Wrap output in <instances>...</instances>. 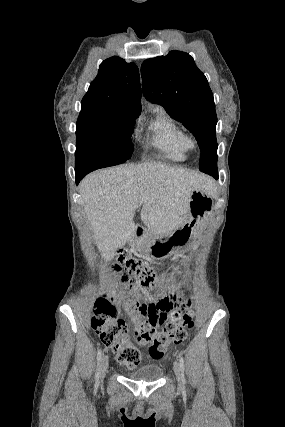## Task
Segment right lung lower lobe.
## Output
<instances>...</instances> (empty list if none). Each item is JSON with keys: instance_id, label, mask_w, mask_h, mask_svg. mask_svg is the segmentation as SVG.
I'll use <instances>...</instances> for the list:
<instances>
[{"instance_id": "right-lung-lower-lobe-1", "label": "right lung lower lobe", "mask_w": 285, "mask_h": 427, "mask_svg": "<svg viewBox=\"0 0 285 427\" xmlns=\"http://www.w3.org/2000/svg\"><path fill=\"white\" fill-rule=\"evenodd\" d=\"M89 172L87 171H81V172H75V180H76V184L79 183V181Z\"/></svg>"}]
</instances>
